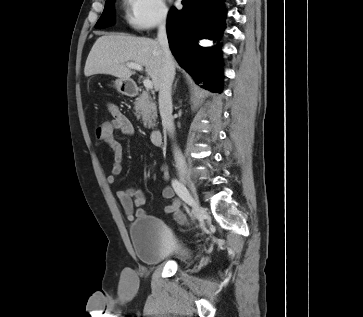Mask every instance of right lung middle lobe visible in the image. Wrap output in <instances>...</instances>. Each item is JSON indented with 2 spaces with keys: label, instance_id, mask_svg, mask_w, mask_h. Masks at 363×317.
Masks as SVG:
<instances>
[{
  "label": "right lung middle lobe",
  "instance_id": "right-lung-middle-lobe-1",
  "mask_svg": "<svg viewBox=\"0 0 363 317\" xmlns=\"http://www.w3.org/2000/svg\"><path fill=\"white\" fill-rule=\"evenodd\" d=\"M114 1H106L104 11L95 25L96 28H105L114 24Z\"/></svg>",
  "mask_w": 363,
  "mask_h": 317
}]
</instances>
